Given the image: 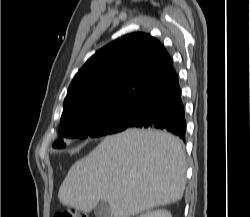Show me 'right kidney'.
<instances>
[{
  "label": "right kidney",
  "mask_w": 250,
  "mask_h": 217,
  "mask_svg": "<svg viewBox=\"0 0 250 217\" xmlns=\"http://www.w3.org/2000/svg\"><path fill=\"white\" fill-rule=\"evenodd\" d=\"M139 217H172V215L168 210L158 209L146 212L145 214H142Z\"/></svg>",
  "instance_id": "right-kidney-1"
}]
</instances>
